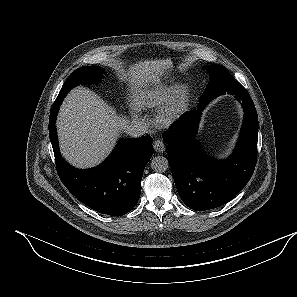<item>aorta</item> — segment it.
<instances>
[{"mask_svg": "<svg viewBox=\"0 0 297 297\" xmlns=\"http://www.w3.org/2000/svg\"><path fill=\"white\" fill-rule=\"evenodd\" d=\"M151 168L155 171V172H165L168 168H169V163L167 158L163 157V156H157L154 157L151 160Z\"/></svg>", "mask_w": 297, "mask_h": 297, "instance_id": "1", "label": "aorta"}]
</instances>
